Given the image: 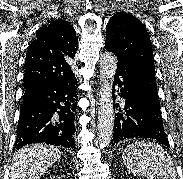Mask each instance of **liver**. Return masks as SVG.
<instances>
[{"instance_id": "1", "label": "liver", "mask_w": 183, "mask_h": 179, "mask_svg": "<svg viewBox=\"0 0 183 179\" xmlns=\"http://www.w3.org/2000/svg\"><path fill=\"white\" fill-rule=\"evenodd\" d=\"M61 159L58 148L46 144H32L17 151L12 159L9 179H39Z\"/></svg>"}]
</instances>
